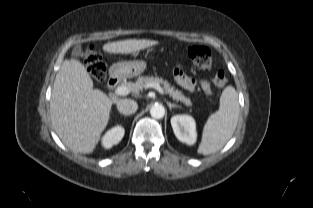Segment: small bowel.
<instances>
[{"label":"small bowel","instance_id":"1","mask_svg":"<svg viewBox=\"0 0 313 208\" xmlns=\"http://www.w3.org/2000/svg\"><path fill=\"white\" fill-rule=\"evenodd\" d=\"M174 78L175 81L184 89L189 91H193L195 89L196 81L193 78L187 76L182 70L176 68L174 70ZM201 87L205 91V93H211V88L208 82L202 81Z\"/></svg>","mask_w":313,"mask_h":208}]
</instances>
